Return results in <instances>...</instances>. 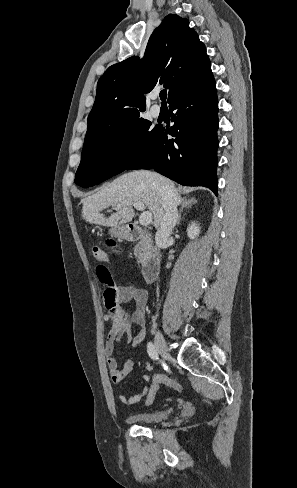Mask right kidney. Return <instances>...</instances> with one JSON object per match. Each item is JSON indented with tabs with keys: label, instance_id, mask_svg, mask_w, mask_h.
Wrapping results in <instances>:
<instances>
[{
	"label": "right kidney",
	"instance_id": "ca27d5eb",
	"mask_svg": "<svg viewBox=\"0 0 297 488\" xmlns=\"http://www.w3.org/2000/svg\"><path fill=\"white\" fill-rule=\"evenodd\" d=\"M200 234V227L195 222H191L187 227V235L190 239H196Z\"/></svg>",
	"mask_w": 297,
	"mask_h": 488
}]
</instances>
